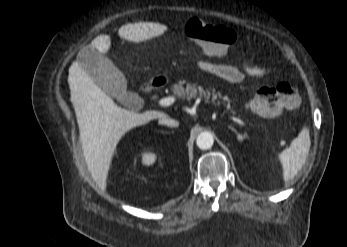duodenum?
Masks as SVG:
<instances>
[{
    "label": "duodenum",
    "mask_w": 347,
    "mask_h": 247,
    "mask_svg": "<svg viewBox=\"0 0 347 247\" xmlns=\"http://www.w3.org/2000/svg\"><path fill=\"white\" fill-rule=\"evenodd\" d=\"M164 85V82L161 81L160 78L153 79L151 81H148L142 85V90L145 93H149L153 91L156 88L162 87Z\"/></svg>",
    "instance_id": "1"
}]
</instances>
